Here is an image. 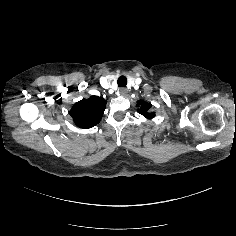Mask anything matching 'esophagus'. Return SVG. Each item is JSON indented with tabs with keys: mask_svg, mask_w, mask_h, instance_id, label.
Returning a JSON list of instances; mask_svg holds the SVG:
<instances>
[{
	"mask_svg": "<svg viewBox=\"0 0 236 236\" xmlns=\"http://www.w3.org/2000/svg\"><path fill=\"white\" fill-rule=\"evenodd\" d=\"M119 94L121 96H126L128 94V90L126 88H120L119 89Z\"/></svg>",
	"mask_w": 236,
	"mask_h": 236,
	"instance_id": "1",
	"label": "esophagus"
}]
</instances>
